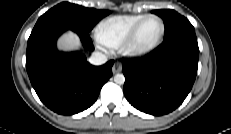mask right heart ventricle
I'll list each match as a JSON object with an SVG mask.
<instances>
[{"label": "right heart ventricle", "mask_w": 231, "mask_h": 134, "mask_svg": "<svg viewBox=\"0 0 231 134\" xmlns=\"http://www.w3.org/2000/svg\"><path fill=\"white\" fill-rule=\"evenodd\" d=\"M145 14L116 15L101 21L96 33L99 41L107 48H117L123 44L133 27Z\"/></svg>", "instance_id": "obj_1"}]
</instances>
